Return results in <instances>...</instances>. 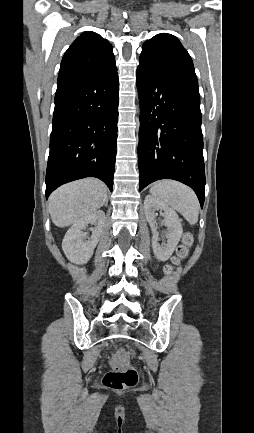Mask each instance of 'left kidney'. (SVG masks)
Returning a JSON list of instances; mask_svg holds the SVG:
<instances>
[{"label": "left kidney", "instance_id": "5707ae66", "mask_svg": "<svg viewBox=\"0 0 254 433\" xmlns=\"http://www.w3.org/2000/svg\"><path fill=\"white\" fill-rule=\"evenodd\" d=\"M164 211V225L167 227V243L159 244L158 232L155 227V211ZM144 213L150 224L152 248L155 256L160 261H166L173 254L183 233L181 220L178 214L163 201L153 195H147L144 200Z\"/></svg>", "mask_w": 254, "mask_h": 433}]
</instances>
